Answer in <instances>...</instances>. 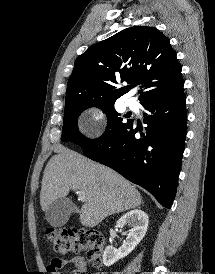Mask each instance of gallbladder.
Listing matches in <instances>:
<instances>
[{
  "mask_svg": "<svg viewBox=\"0 0 215 274\" xmlns=\"http://www.w3.org/2000/svg\"><path fill=\"white\" fill-rule=\"evenodd\" d=\"M76 211L75 205L66 197L58 198L51 203L45 211L47 222L53 227L66 224L72 212Z\"/></svg>",
  "mask_w": 215,
  "mask_h": 274,
  "instance_id": "gallbladder-1",
  "label": "gallbladder"
}]
</instances>
